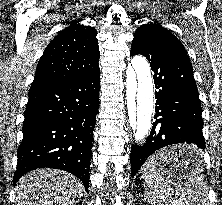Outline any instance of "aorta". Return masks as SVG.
<instances>
[{"label": "aorta", "mask_w": 222, "mask_h": 205, "mask_svg": "<svg viewBox=\"0 0 222 205\" xmlns=\"http://www.w3.org/2000/svg\"><path fill=\"white\" fill-rule=\"evenodd\" d=\"M126 100L132 140L141 146L151 129L154 105L151 70L142 56L133 57L127 67Z\"/></svg>", "instance_id": "762f6f07"}]
</instances>
